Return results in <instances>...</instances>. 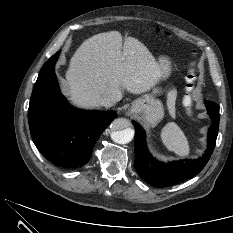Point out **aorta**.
<instances>
[{
    "label": "aorta",
    "instance_id": "aorta-1",
    "mask_svg": "<svg viewBox=\"0 0 233 233\" xmlns=\"http://www.w3.org/2000/svg\"><path fill=\"white\" fill-rule=\"evenodd\" d=\"M111 138L118 144H127L134 137V130L130 127L129 120L117 118L110 125Z\"/></svg>",
    "mask_w": 233,
    "mask_h": 233
}]
</instances>
